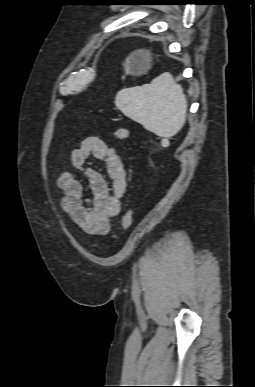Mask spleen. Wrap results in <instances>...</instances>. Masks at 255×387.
Masks as SVG:
<instances>
[{
    "label": "spleen",
    "instance_id": "3e777b00",
    "mask_svg": "<svg viewBox=\"0 0 255 387\" xmlns=\"http://www.w3.org/2000/svg\"><path fill=\"white\" fill-rule=\"evenodd\" d=\"M115 105L125 116L160 137L175 135L186 121L187 99L170 73L161 74L150 84L120 90Z\"/></svg>",
    "mask_w": 255,
    "mask_h": 387
}]
</instances>
